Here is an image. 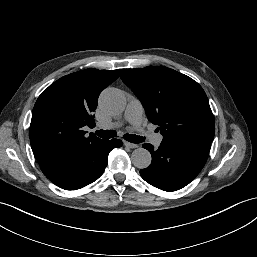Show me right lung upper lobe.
Here are the masks:
<instances>
[{"instance_id": "right-lung-upper-lobe-1", "label": "right lung upper lobe", "mask_w": 257, "mask_h": 257, "mask_svg": "<svg viewBox=\"0 0 257 257\" xmlns=\"http://www.w3.org/2000/svg\"><path fill=\"white\" fill-rule=\"evenodd\" d=\"M119 70L86 69L51 84L37 99L30 124V143L40 167L81 152L102 139L84 126H95L101 91L115 81Z\"/></svg>"}]
</instances>
